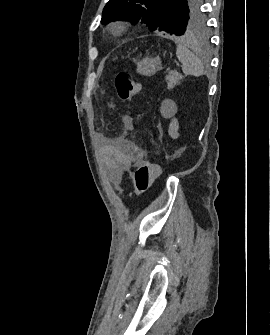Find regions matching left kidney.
I'll list each match as a JSON object with an SVG mask.
<instances>
[{
    "mask_svg": "<svg viewBox=\"0 0 270 335\" xmlns=\"http://www.w3.org/2000/svg\"><path fill=\"white\" fill-rule=\"evenodd\" d=\"M178 130H179V122L178 120H176V118H173L171 124H169V130H168V134L169 136H171V138H173V140L179 138Z\"/></svg>",
    "mask_w": 270,
    "mask_h": 335,
    "instance_id": "left-kidney-1",
    "label": "left kidney"
}]
</instances>
